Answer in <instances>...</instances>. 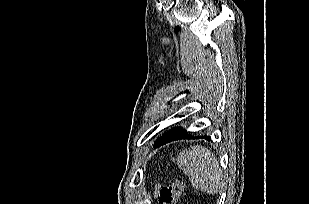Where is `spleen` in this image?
<instances>
[{"label": "spleen", "mask_w": 309, "mask_h": 204, "mask_svg": "<svg viewBox=\"0 0 309 204\" xmlns=\"http://www.w3.org/2000/svg\"><path fill=\"white\" fill-rule=\"evenodd\" d=\"M177 164L188 176L194 189L209 194L221 189L222 171L217 158L207 148L197 145L182 151L177 157Z\"/></svg>", "instance_id": "3e777b00"}]
</instances>
